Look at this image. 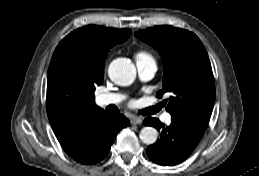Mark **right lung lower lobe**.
I'll list each match as a JSON object with an SVG mask.
<instances>
[{
	"instance_id": "1",
	"label": "right lung lower lobe",
	"mask_w": 259,
	"mask_h": 176,
	"mask_svg": "<svg viewBox=\"0 0 259 176\" xmlns=\"http://www.w3.org/2000/svg\"><path fill=\"white\" fill-rule=\"evenodd\" d=\"M129 123L122 114L102 111L72 139L61 143V146L78 163L95 164L107 156L117 133Z\"/></svg>"
}]
</instances>
